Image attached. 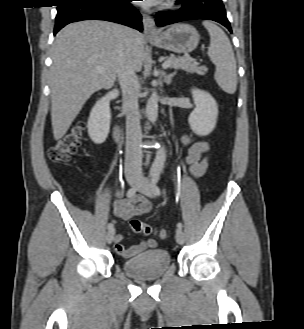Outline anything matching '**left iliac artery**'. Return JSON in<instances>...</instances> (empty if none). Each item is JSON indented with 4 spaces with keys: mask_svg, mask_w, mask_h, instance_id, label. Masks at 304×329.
Masks as SVG:
<instances>
[{
    "mask_svg": "<svg viewBox=\"0 0 304 329\" xmlns=\"http://www.w3.org/2000/svg\"><path fill=\"white\" fill-rule=\"evenodd\" d=\"M159 178H160L159 173H154L151 178V187H152L153 193L157 196L161 195V190L158 186ZM177 227L179 229H182V227H183L182 223L181 222L177 223Z\"/></svg>",
    "mask_w": 304,
    "mask_h": 329,
    "instance_id": "1",
    "label": "left iliac artery"
}]
</instances>
